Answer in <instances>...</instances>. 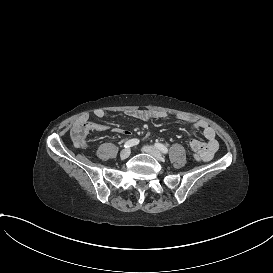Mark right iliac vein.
Listing matches in <instances>:
<instances>
[{"instance_id":"obj_1","label":"right iliac vein","mask_w":273,"mask_h":273,"mask_svg":"<svg viewBox=\"0 0 273 273\" xmlns=\"http://www.w3.org/2000/svg\"><path fill=\"white\" fill-rule=\"evenodd\" d=\"M130 153H131V151L129 148L123 149L120 153V158L126 159L130 156Z\"/></svg>"}]
</instances>
